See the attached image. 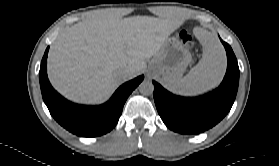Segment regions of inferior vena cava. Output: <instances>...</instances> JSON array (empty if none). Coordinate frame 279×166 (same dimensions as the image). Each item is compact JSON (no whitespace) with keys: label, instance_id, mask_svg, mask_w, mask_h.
<instances>
[{"label":"inferior vena cava","instance_id":"1","mask_svg":"<svg viewBox=\"0 0 279 166\" xmlns=\"http://www.w3.org/2000/svg\"><path fill=\"white\" fill-rule=\"evenodd\" d=\"M131 67H123L119 70V75L122 79H125L128 77V75L131 73Z\"/></svg>","mask_w":279,"mask_h":166}]
</instances>
